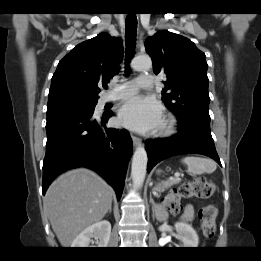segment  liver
Masks as SVG:
<instances>
[{
	"label": "liver",
	"mask_w": 261,
	"mask_h": 261,
	"mask_svg": "<svg viewBox=\"0 0 261 261\" xmlns=\"http://www.w3.org/2000/svg\"><path fill=\"white\" fill-rule=\"evenodd\" d=\"M112 194L100 176L84 168L68 171L51 184L44 206L63 247H69L83 230L104 218Z\"/></svg>",
	"instance_id": "1"
}]
</instances>
